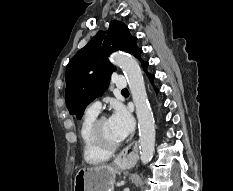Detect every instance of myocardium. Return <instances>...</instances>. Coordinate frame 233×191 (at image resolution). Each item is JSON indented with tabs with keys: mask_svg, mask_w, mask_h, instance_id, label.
Masks as SVG:
<instances>
[{
	"mask_svg": "<svg viewBox=\"0 0 233 191\" xmlns=\"http://www.w3.org/2000/svg\"><path fill=\"white\" fill-rule=\"evenodd\" d=\"M106 119V116H99L94 120L90 129V138L96 148L103 152L112 153L119 148L121 142L111 144L103 138L101 133V125Z\"/></svg>",
	"mask_w": 233,
	"mask_h": 191,
	"instance_id": "obj_1",
	"label": "myocardium"
}]
</instances>
